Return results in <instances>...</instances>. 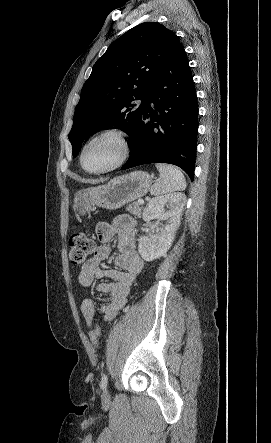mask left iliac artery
I'll return each mask as SVG.
<instances>
[{
    "label": "left iliac artery",
    "mask_w": 271,
    "mask_h": 443,
    "mask_svg": "<svg viewBox=\"0 0 271 443\" xmlns=\"http://www.w3.org/2000/svg\"><path fill=\"white\" fill-rule=\"evenodd\" d=\"M107 383H108L107 375L103 374L102 378H101V385H100L102 390L106 389Z\"/></svg>",
    "instance_id": "left-iliac-artery-1"
}]
</instances>
